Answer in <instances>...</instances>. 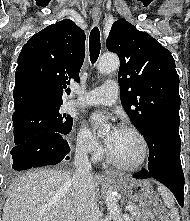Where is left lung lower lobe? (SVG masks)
Segmentation results:
<instances>
[{
    "label": "left lung lower lobe",
    "instance_id": "left-lung-lower-lobe-1",
    "mask_svg": "<svg viewBox=\"0 0 190 221\" xmlns=\"http://www.w3.org/2000/svg\"><path fill=\"white\" fill-rule=\"evenodd\" d=\"M142 135L149 146L148 169L133 174V177L158 180L172 191L183 207L184 175L180 160L179 123L157 122Z\"/></svg>",
    "mask_w": 190,
    "mask_h": 221
}]
</instances>
